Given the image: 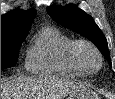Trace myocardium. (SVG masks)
<instances>
[{"instance_id":"obj_1","label":"myocardium","mask_w":115,"mask_h":99,"mask_svg":"<svg viewBox=\"0 0 115 99\" xmlns=\"http://www.w3.org/2000/svg\"><path fill=\"white\" fill-rule=\"evenodd\" d=\"M84 47L91 49L98 57L99 65L95 70L88 69L81 59L80 50ZM69 57L74 66L85 75H92L97 73L103 65V57L101 52L92 42L88 40H74L69 48Z\"/></svg>"}]
</instances>
